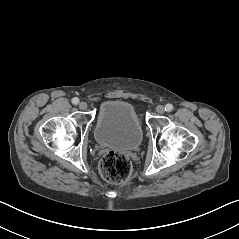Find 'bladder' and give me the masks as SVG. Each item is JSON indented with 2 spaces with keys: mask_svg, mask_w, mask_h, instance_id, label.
Returning <instances> with one entry per match:
<instances>
[{
  "mask_svg": "<svg viewBox=\"0 0 239 239\" xmlns=\"http://www.w3.org/2000/svg\"><path fill=\"white\" fill-rule=\"evenodd\" d=\"M94 137L103 147L137 150L143 141V130L134 106L119 99L104 101L99 107Z\"/></svg>",
  "mask_w": 239,
  "mask_h": 239,
  "instance_id": "31cf9c89",
  "label": "bladder"
}]
</instances>
